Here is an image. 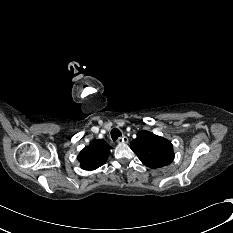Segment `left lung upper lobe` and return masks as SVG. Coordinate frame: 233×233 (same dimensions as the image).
<instances>
[{"mask_svg":"<svg viewBox=\"0 0 233 233\" xmlns=\"http://www.w3.org/2000/svg\"><path fill=\"white\" fill-rule=\"evenodd\" d=\"M130 148L137 154L140 161L150 168L166 166L174 159L171 142L146 130L137 133Z\"/></svg>","mask_w":233,"mask_h":233,"instance_id":"obj_1","label":"left lung upper lobe"}]
</instances>
